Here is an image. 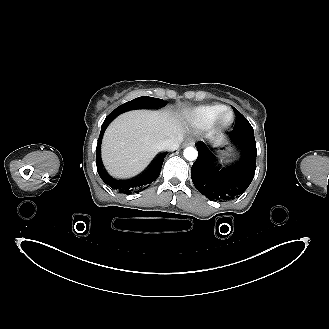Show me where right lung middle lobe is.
Segmentation results:
<instances>
[{
    "label": "right lung middle lobe",
    "instance_id": "1",
    "mask_svg": "<svg viewBox=\"0 0 329 329\" xmlns=\"http://www.w3.org/2000/svg\"><path fill=\"white\" fill-rule=\"evenodd\" d=\"M167 103L166 101L153 98V97H138L134 100L126 102L119 107H117L112 113H110L107 117L115 118L119 114L132 110V109H139V108H160L165 106Z\"/></svg>",
    "mask_w": 329,
    "mask_h": 329
}]
</instances>
